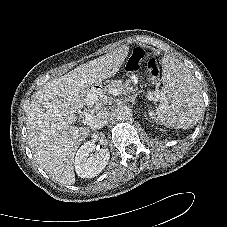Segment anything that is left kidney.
<instances>
[{
    "instance_id": "5707ae66",
    "label": "left kidney",
    "mask_w": 227,
    "mask_h": 227,
    "mask_svg": "<svg viewBox=\"0 0 227 227\" xmlns=\"http://www.w3.org/2000/svg\"><path fill=\"white\" fill-rule=\"evenodd\" d=\"M149 115L152 116V112H150Z\"/></svg>"
}]
</instances>
